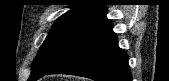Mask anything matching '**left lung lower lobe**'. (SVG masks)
Segmentation results:
<instances>
[{"instance_id":"0a47b994","label":"left lung lower lobe","mask_w":169,"mask_h":81,"mask_svg":"<svg viewBox=\"0 0 169 81\" xmlns=\"http://www.w3.org/2000/svg\"><path fill=\"white\" fill-rule=\"evenodd\" d=\"M106 13L79 32L46 74H71L96 81H132L127 54L118 47Z\"/></svg>"}]
</instances>
